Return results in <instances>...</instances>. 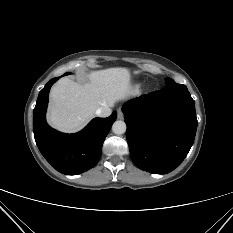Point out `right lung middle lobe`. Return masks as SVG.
<instances>
[{"instance_id":"obj_1","label":"right lung middle lobe","mask_w":233,"mask_h":233,"mask_svg":"<svg viewBox=\"0 0 233 233\" xmlns=\"http://www.w3.org/2000/svg\"><path fill=\"white\" fill-rule=\"evenodd\" d=\"M69 73H65L63 76L68 75Z\"/></svg>"}]
</instances>
